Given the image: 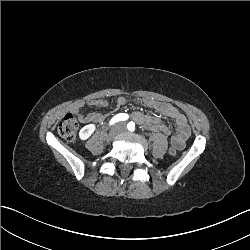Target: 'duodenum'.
<instances>
[{
    "mask_svg": "<svg viewBox=\"0 0 250 250\" xmlns=\"http://www.w3.org/2000/svg\"><path fill=\"white\" fill-rule=\"evenodd\" d=\"M103 101H105V100H103V99H100V100H99V102H103Z\"/></svg>",
    "mask_w": 250,
    "mask_h": 250,
    "instance_id": "1",
    "label": "duodenum"
}]
</instances>
